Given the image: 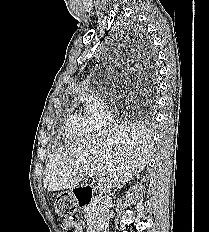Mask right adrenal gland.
<instances>
[{"mask_svg":"<svg viewBox=\"0 0 209 232\" xmlns=\"http://www.w3.org/2000/svg\"><path fill=\"white\" fill-rule=\"evenodd\" d=\"M129 180H130V179H129ZM118 188H121V187H115V188H114V192L117 191Z\"/></svg>","mask_w":209,"mask_h":232,"instance_id":"right-adrenal-gland-1","label":"right adrenal gland"}]
</instances>
